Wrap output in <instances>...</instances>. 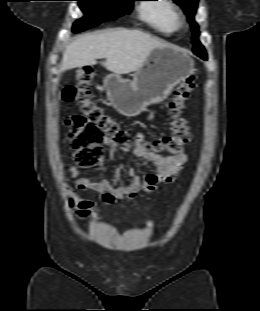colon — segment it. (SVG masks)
<instances>
[{
	"instance_id": "5ec220e1",
	"label": "colon",
	"mask_w": 260,
	"mask_h": 311,
	"mask_svg": "<svg viewBox=\"0 0 260 311\" xmlns=\"http://www.w3.org/2000/svg\"><path fill=\"white\" fill-rule=\"evenodd\" d=\"M94 78L92 68L78 70L71 83L63 90V100L68 105L78 103L80 113L68 116L65 124L69 129L68 141L74 151V160L79 166L94 165L103 157L101 145L110 139L124 147L130 146V134L118 121L108 115L104 109L94 102L89 85ZM196 88L193 77L186 78L174 91L170 102V135L154 141L144 142L145 149L167 152L171 155L182 153L190 141L182 112L187 101Z\"/></svg>"
}]
</instances>
